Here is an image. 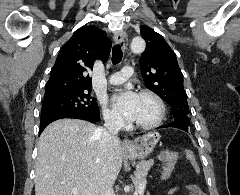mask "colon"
I'll return each mask as SVG.
<instances>
[{"label": "colon", "mask_w": 240, "mask_h": 195, "mask_svg": "<svg viewBox=\"0 0 240 195\" xmlns=\"http://www.w3.org/2000/svg\"><path fill=\"white\" fill-rule=\"evenodd\" d=\"M186 159L192 164L193 169H198V162L196 161L194 154H187ZM173 160H177V151L176 150H169V151H162V166L165 167V173L170 175L173 173ZM196 171V170H195ZM196 195H204L198 188H195Z\"/></svg>", "instance_id": "colon-1"}]
</instances>
